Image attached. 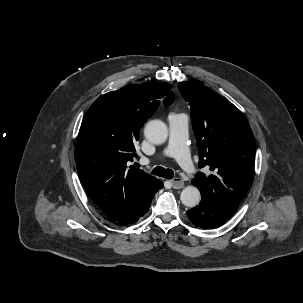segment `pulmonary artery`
Masks as SVG:
<instances>
[{"mask_svg": "<svg viewBox=\"0 0 303 303\" xmlns=\"http://www.w3.org/2000/svg\"><path fill=\"white\" fill-rule=\"evenodd\" d=\"M169 140L163 153L174 158L187 172L194 170V165L187 146L188 117L184 114H170L168 116Z\"/></svg>", "mask_w": 303, "mask_h": 303, "instance_id": "pulmonary-artery-1", "label": "pulmonary artery"}]
</instances>
